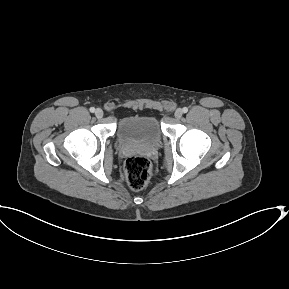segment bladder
<instances>
[{"instance_id":"31cf9c89","label":"bladder","mask_w":289,"mask_h":289,"mask_svg":"<svg viewBox=\"0 0 289 289\" xmlns=\"http://www.w3.org/2000/svg\"><path fill=\"white\" fill-rule=\"evenodd\" d=\"M162 128L153 115H131L124 117L117 129V136L122 143H140L154 145L162 138Z\"/></svg>"}]
</instances>
